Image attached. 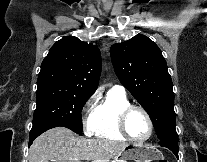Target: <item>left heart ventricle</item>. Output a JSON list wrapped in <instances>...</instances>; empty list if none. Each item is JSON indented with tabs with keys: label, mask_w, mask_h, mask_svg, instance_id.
<instances>
[{
	"label": "left heart ventricle",
	"mask_w": 207,
	"mask_h": 162,
	"mask_svg": "<svg viewBox=\"0 0 207 162\" xmlns=\"http://www.w3.org/2000/svg\"><path fill=\"white\" fill-rule=\"evenodd\" d=\"M126 127L129 134L135 138H144L149 131L146 117L138 110L130 113Z\"/></svg>",
	"instance_id": "left-heart-ventricle-1"
}]
</instances>
